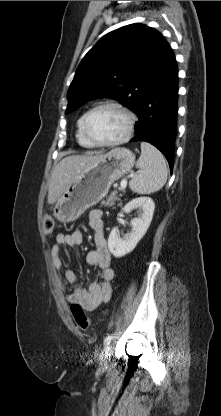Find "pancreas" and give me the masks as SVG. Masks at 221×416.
Segmentation results:
<instances>
[{"mask_svg":"<svg viewBox=\"0 0 221 416\" xmlns=\"http://www.w3.org/2000/svg\"><path fill=\"white\" fill-rule=\"evenodd\" d=\"M119 200V197L117 196V192L114 191L112 192L109 197H107L106 200H103L101 202V205L105 206V207H112L115 205V201Z\"/></svg>","mask_w":221,"mask_h":416,"instance_id":"cf45deb5","label":"pancreas"}]
</instances>
